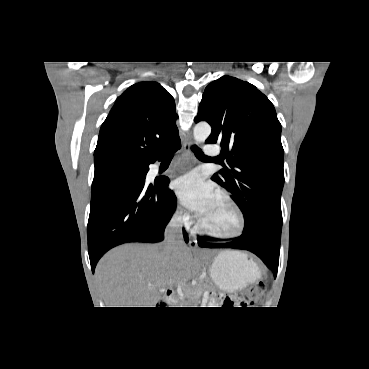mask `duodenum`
Wrapping results in <instances>:
<instances>
[{"instance_id":"obj_1","label":"duodenum","mask_w":369,"mask_h":369,"mask_svg":"<svg viewBox=\"0 0 369 369\" xmlns=\"http://www.w3.org/2000/svg\"><path fill=\"white\" fill-rule=\"evenodd\" d=\"M165 297L168 301L173 300V291L171 289H167L165 292Z\"/></svg>"}]
</instances>
